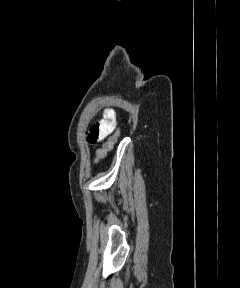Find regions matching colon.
Instances as JSON below:
<instances>
[{"mask_svg":"<svg viewBox=\"0 0 240 288\" xmlns=\"http://www.w3.org/2000/svg\"><path fill=\"white\" fill-rule=\"evenodd\" d=\"M103 154H104V151H103V150H100L99 153H98V155H99L100 157L103 156Z\"/></svg>","mask_w":240,"mask_h":288,"instance_id":"obj_1","label":"colon"}]
</instances>
